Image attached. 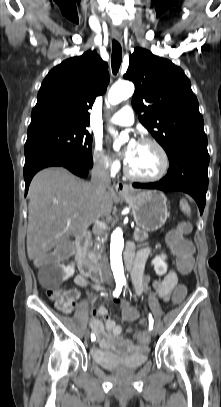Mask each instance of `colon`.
I'll return each mask as SVG.
<instances>
[{
  "instance_id": "5ec220e1",
  "label": "colon",
  "mask_w": 221,
  "mask_h": 407,
  "mask_svg": "<svg viewBox=\"0 0 221 407\" xmlns=\"http://www.w3.org/2000/svg\"><path fill=\"white\" fill-rule=\"evenodd\" d=\"M182 211L189 214V208L186 204L182 205ZM191 231L189 221L182 223L178 229L171 231L167 236V242L172 251L178 256V269L182 274H188L191 271L193 260L192 255L195 253V248L192 239H184V235ZM71 243L69 240H62L60 246H53L52 252H43L35 259V268L43 266L44 261H69V248ZM50 298L55 300L56 307L68 312L74 305V297L67 291H48ZM188 287L184 282H179L173 287V292H170V303L173 307H178L179 304L185 303V298H188ZM139 307L134 305H124L121 307V317L129 322H137L141 317Z\"/></svg>"
}]
</instances>
